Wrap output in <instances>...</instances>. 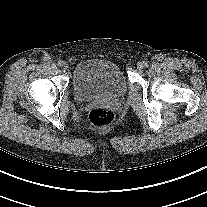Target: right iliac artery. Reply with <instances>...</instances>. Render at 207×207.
Instances as JSON below:
<instances>
[{"mask_svg":"<svg viewBox=\"0 0 207 207\" xmlns=\"http://www.w3.org/2000/svg\"><path fill=\"white\" fill-rule=\"evenodd\" d=\"M57 64H58L59 67H61L64 64V61L60 60V61H58Z\"/></svg>","mask_w":207,"mask_h":207,"instance_id":"1","label":"right iliac artery"}]
</instances>
